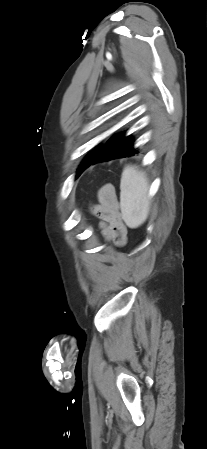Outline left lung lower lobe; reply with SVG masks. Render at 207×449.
I'll return each instance as SVG.
<instances>
[{
	"label": "left lung lower lobe",
	"instance_id": "left-lung-lower-lobe-1",
	"mask_svg": "<svg viewBox=\"0 0 207 449\" xmlns=\"http://www.w3.org/2000/svg\"><path fill=\"white\" fill-rule=\"evenodd\" d=\"M135 153H138V151L133 148L131 136L124 137L123 132L108 140L105 145L101 147L97 155L88 163L87 167L98 162L128 157Z\"/></svg>",
	"mask_w": 207,
	"mask_h": 449
}]
</instances>
